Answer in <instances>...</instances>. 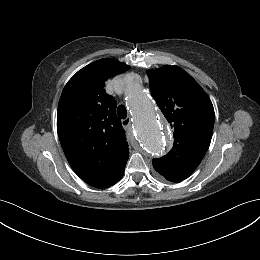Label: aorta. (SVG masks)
Instances as JSON below:
<instances>
[{"instance_id":"1","label":"aorta","mask_w":260,"mask_h":260,"mask_svg":"<svg viewBox=\"0 0 260 260\" xmlns=\"http://www.w3.org/2000/svg\"><path fill=\"white\" fill-rule=\"evenodd\" d=\"M125 90L135 116V131L140 143L149 155H164L168 150L169 141L160 125L154 104L134 75L128 76Z\"/></svg>"}]
</instances>
